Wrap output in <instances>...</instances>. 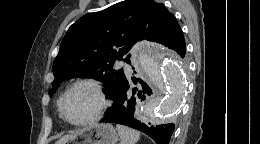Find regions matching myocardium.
<instances>
[{"mask_svg": "<svg viewBox=\"0 0 260 144\" xmlns=\"http://www.w3.org/2000/svg\"><path fill=\"white\" fill-rule=\"evenodd\" d=\"M79 86H88L94 90L99 100V107L96 113L91 118L81 122H73L67 117L65 113V103L69 95ZM107 106H108V101L100 83L93 79H81L73 83L63 94L60 101V114L61 117L72 126H77V127L87 126L98 121L103 115V113L105 112Z\"/></svg>", "mask_w": 260, "mask_h": 144, "instance_id": "obj_1", "label": "myocardium"}]
</instances>
